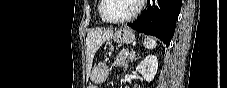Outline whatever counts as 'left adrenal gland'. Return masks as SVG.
I'll return each mask as SVG.
<instances>
[{
	"label": "left adrenal gland",
	"instance_id": "left-adrenal-gland-1",
	"mask_svg": "<svg viewBox=\"0 0 227 88\" xmlns=\"http://www.w3.org/2000/svg\"><path fill=\"white\" fill-rule=\"evenodd\" d=\"M135 59H136V53H135V51L132 49V50H131V53H130V55H129V58H128L127 62H126L124 71L127 70L129 61H133V60H135Z\"/></svg>",
	"mask_w": 227,
	"mask_h": 88
}]
</instances>
